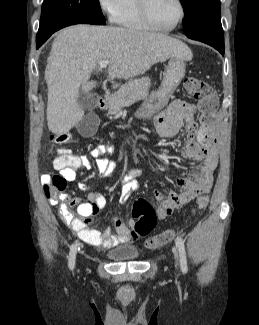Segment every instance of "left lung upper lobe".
<instances>
[{
	"label": "left lung upper lobe",
	"instance_id": "1",
	"mask_svg": "<svg viewBox=\"0 0 259 325\" xmlns=\"http://www.w3.org/2000/svg\"><path fill=\"white\" fill-rule=\"evenodd\" d=\"M184 12L183 29L191 37L204 29L221 25L220 0H180Z\"/></svg>",
	"mask_w": 259,
	"mask_h": 325
}]
</instances>
